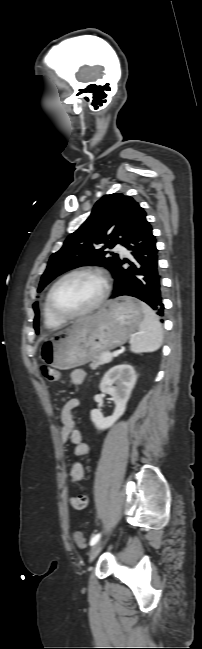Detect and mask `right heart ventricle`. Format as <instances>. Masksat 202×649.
<instances>
[{"instance_id":"obj_1","label":"right heart ventricle","mask_w":202,"mask_h":649,"mask_svg":"<svg viewBox=\"0 0 202 649\" xmlns=\"http://www.w3.org/2000/svg\"><path fill=\"white\" fill-rule=\"evenodd\" d=\"M42 316L44 325L49 329L59 328L65 323V321L60 320L52 315L48 307L47 297L43 303Z\"/></svg>"}]
</instances>
